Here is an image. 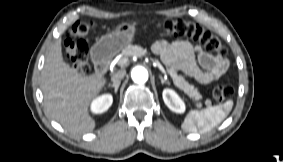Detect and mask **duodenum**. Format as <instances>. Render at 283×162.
<instances>
[{
	"label": "duodenum",
	"mask_w": 283,
	"mask_h": 162,
	"mask_svg": "<svg viewBox=\"0 0 283 162\" xmlns=\"http://www.w3.org/2000/svg\"><path fill=\"white\" fill-rule=\"evenodd\" d=\"M94 59L96 64V69L99 73L103 74L108 71L111 58L110 55L104 49H97L94 52Z\"/></svg>",
	"instance_id": "obj_1"
}]
</instances>
